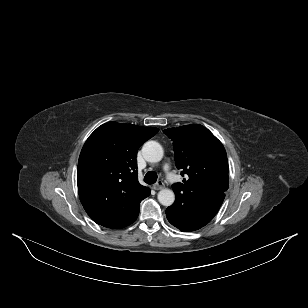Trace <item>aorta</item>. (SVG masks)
<instances>
[{"mask_svg": "<svg viewBox=\"0 0 308 308\" xmlns=\"http://www.w3.org/2000/svg\"><path fill=\"white\" fill-rule=\"evenodd\" d=\"M142 153L144 158L151 163H156L163 158V148L156 141H148L143 145ZM158 200L163 206H171L175 200V194L170 189H162L158 193Z\"/></svg>", "mask_w": 308, "mask_h": 308, "instance_id": "obj_1", "label": "aorta"}]
</instances>
